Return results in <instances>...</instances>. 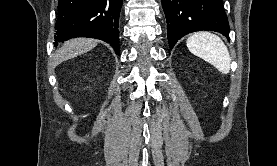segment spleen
<instances>
[{
  "mask_svg": "<svg viewBox=\"0 0 277 166\" xmlns=\"http://www.w3.org/2000/svg\"><path fill=\"white\" fill-rule=\"evenodd\" d=\"M186 44L192 54L210 63L221 73H229L230 54L220 37L210 32H198L191 35Z\"/></svg>",
  "mask_w": 277,
  "mask_h": 166,
  "instance_id": "spleen-1",
  "label": "spleen"
}]
</instances>
